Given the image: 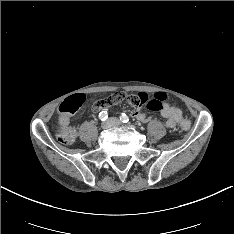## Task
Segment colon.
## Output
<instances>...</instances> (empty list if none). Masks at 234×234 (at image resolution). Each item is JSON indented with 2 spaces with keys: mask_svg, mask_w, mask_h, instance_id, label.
Returning a JSON list of instances; mask_svg holds the SVG:
<instances>
[{
  "mask_svg": "<svg viewBox=\"0 0 234 234\" xmlns=\"http://www.w3.org/2000/svg\"><path fill=\"white\" fill-rule=\"evenodd\" d=\"M166 99V94L163 92H157L152 97H149L146 93L127 94L125 92H117L110 99L112 103L121 102L126 100L130 105L134 107H146L150 110L158 111L163 102ZM85 102V97L81 94L73 95L65 99L58 109L60 128L58 131V139L60 142L72 145L77 138V131L70 126V118L82 107ZM103 105L102 100H98L94 103L95 110H100ZM190 121L185 119L181 123V128L187 130L190 128Z\"/></svg>",
  "mask_w": 234,
  "mask_h": 234,
  "instance_id": "obj_1",
  "label": "colon"
}]
</instances>
